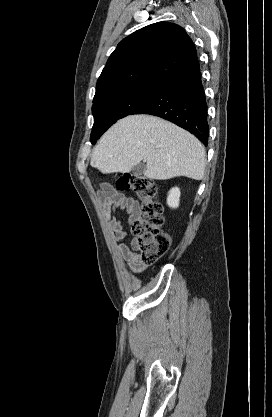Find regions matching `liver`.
<instances>
[{
	"mask_svg": "<svg viewBox=\"0 0 272 417\" xmlns=\"http://www.w3.org/2000/svg\"><path fill=\"white\" fill-rule=\"evenodd\" d=\"M146 162L144 175L166 180L204 177L206 151L189 132L150 115H131L115 123L95 147L91 166L103 174L125 173Z\"/></svg>",
	"mask_w": 272,
	"mask_h": 417,
	"instance_id": "liver-1",
	"label": "liver"
}]
</instances>
